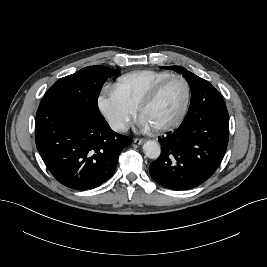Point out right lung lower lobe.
<instances>
[{
	"label": "right lung lower lobe",
	"instance_id": "obj_1",
	"mask_svg": "<svg viewBox=\"0 0 267 267\" xmlns=\"http://www.w3.org/2000/svg\"><path fill=\"white\" fill-rule=\"evenodd\" d=\"M35 139L52 175L75 190L93 189L111 178L120 152L132 142L114 132L101 113L53 99L39 105Z\"/></svg>",
	"mask_w": 267,
	"mask_h": 267
}]
</instances>
